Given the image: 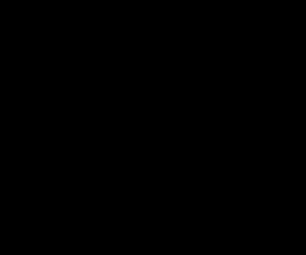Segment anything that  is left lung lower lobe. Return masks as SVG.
Returning <instances> with one entry per match:
<instances>
[{"instance_id":"0a47b994","label":"left lung lower lobe","mask_w":306,"mask_h":255,"mask_svg":"<svg viewBox=\"0 0 306 255\" xmlns=\"http://www.w3.org/2000/svg\"><path fill=\"white\" fill-rule=\"evenodd\" d=\"M221 184L192 173H183L178 182L164 187L162 197L170 210L180 215L206 209L220 193Z\"/></svg>"}]
</instances>
